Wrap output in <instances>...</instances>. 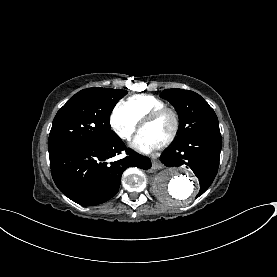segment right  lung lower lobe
<instances>
[{
  "label": "right lung lower lobe",
  "instance_id": "1",
  "mask_svg": "<svg viewBox=\"0 0 277 277\" xmlns=\"http://www.w3.org/2000/svg\"><path fill=\"white\" fill-rule=\"evenodd\" d=\"M123 150L127 154L125 158L110 159ZM49 158L56 186L68 198L84 206L98 205L115 196L122 173L128 167H151L149 158L126 148L118 136L101 143L63 147L50 152Z\"/></svg>",
  "mask_w": 277,
  "mask_h": 277
}]
</instances>
